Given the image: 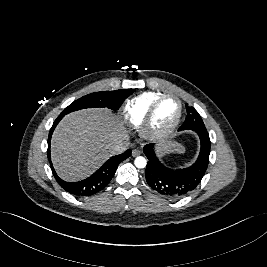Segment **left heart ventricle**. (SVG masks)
<instances>
[{
  "instance_id": "b2bd125f",
  "label": "left heart ventricle",
  "mask_w": 267,
  "mask_h": 267,
  "mask_svg": "<svg viewBox=\"0 0 267 267\" xmlns=\"http://www.w3.org/2000/svg\"><path fill=\"white\" fill-rule=\"evenodd\" d=\"M178 102L174 98H167L161 102L153 120V128L157 131L168 129L178 114Z\"/></svg>"
}]
</instances>
